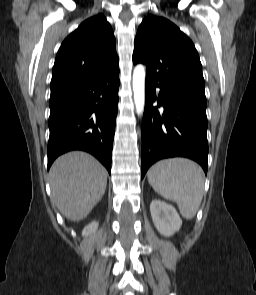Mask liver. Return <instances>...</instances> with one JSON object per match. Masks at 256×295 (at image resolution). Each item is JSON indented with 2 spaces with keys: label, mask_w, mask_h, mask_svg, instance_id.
Instances as JSON below:
<instances>
[{
  "label": "liver",
  "mask_w": 256,
  "mask_h": 295,
  "mask_svg": "<svg viewBox=\"0 0 256 295\" xmlns=\"http://www.w3.org/2000/svg\"><path fill=\"white\" fill-rule=\"evenodd\" d=\"M51 201L71 221L83 220L102 199L107 171L85 152H69L57 158L49 172Z\"/></svg>",
  "instance_id": "6515ba94"
}]
</instances>
